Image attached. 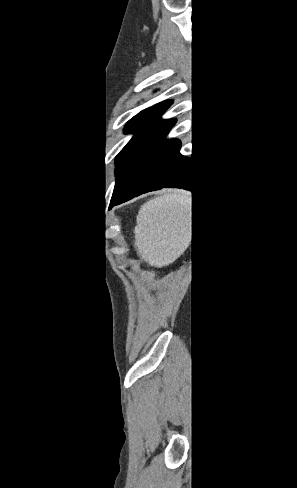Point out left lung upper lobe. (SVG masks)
I'll return each mask as SVG.
<instances>
[{"label":"left lung upper lobe","mask_w":297,"mask_h":488,"mask_svg":"<svg viewBox=\"0 0 297 488\" xmlns=\"http://www.w3.org/2000/svg\"><path fill=\"white\" fill-rule=\"evenodd\" d=\"M172 104L164 101L134 116L124 129L126 133L137 131L135 136L116 156V184L111 201L120 196L141 172L146 164L170 141L160 142L174 126L176 120H158Z\"/></svg>","instance_id":"5c2ea615"}]
</instances>
